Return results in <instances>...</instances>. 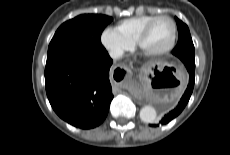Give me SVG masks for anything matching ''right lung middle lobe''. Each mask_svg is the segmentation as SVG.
Listing matches in <instances>:
<instances>
[{"instance_id":"1","label":"right lung middle lobe","mask_w":230,"mask_h":155,"mask_svg":"<svg viewBox=\"0 0 230 155\" xmlns=\"http://www.w3.org/2000/svg\"><path fill=\"white\" fill-rule=\"evenodd\" d=\"M111 21L106 15L84 14L63 23L49 44L47 60L64 55L105 53L100 36Z\"/></svg>"}]
</instances>
